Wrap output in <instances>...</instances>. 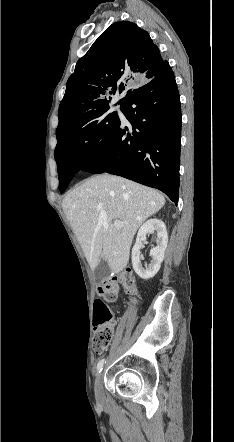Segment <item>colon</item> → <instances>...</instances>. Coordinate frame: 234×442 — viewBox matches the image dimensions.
Segmentation results:
<instances>
[{
	"mask_svg": "<svg viewBox=\"0 0 234 442\" xmlns=\"http://www.w3.org/2000/svg\"><path fill=\"white\" fill-rule=\"evenodd\" d=\"M118 282L122 284L124 290L130 295H136L138 291L135 279L129 268L125 269L118 279H107L98 286L93 320L95 327L94 348L98 353L104 352L113 338L114 322L108 303L115 301L117 298Z\"/></svg>",
	"mask_w": 234,
	"mask_h": 442,
	"instance_id": "1",
	"label": "colon"
}]
</instances>
